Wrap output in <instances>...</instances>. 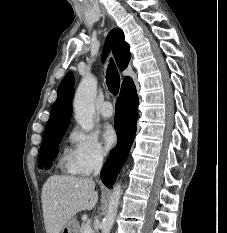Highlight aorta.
<instances>
[{
    "instance_id": "762f6f07",
    "label": "aorta",
    "mask_w": 227,
    "mask_h": 233,
    "mask_svg": "<svg viewBox=\"0 0 227 233\" xmlns=\"http://www.w3.org/2000/svg\"><path fill=\"white\" fill-rule=\"evenodd\" d=\"M97 91V80L88 75L84 77L75 93L74 111L75 120L85 130L90 131L93 128V116L95 114L94 99ZM122 189L118 184L114 187L110 196L108 211L102 220V233H110L116 217Z\"/></svg>"
}]
</instances>
